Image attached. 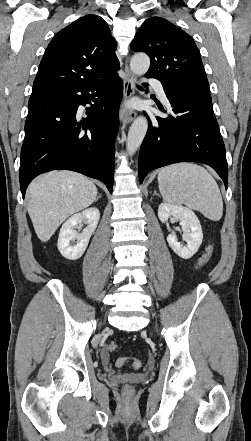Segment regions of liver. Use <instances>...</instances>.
<instances>
[{"label": "liver", "mask_w": 251, "mask_h": 441, "mask_svg": "<svg viewBox=\"0 0 251 441\" xmlns=\"http://www.w3.org/2000/svg\"><path fill=\"white\" fill-rule=\"evenodd\" d=\"M28 213L36 235L47 242L72 214L90 206L97 196L95 184L72 171H51L27 189Z\"/></svg>", "instance_id": "6515ba94"}]
</instances>
